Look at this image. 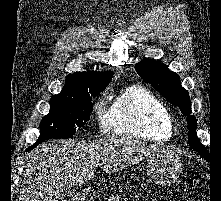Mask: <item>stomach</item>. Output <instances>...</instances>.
Instances as JSON below:
<instances>
[{"instance_id": "1", "label": "stomach", "mask_w": 221, "mask_h": 201, "mask_svg": "<svg viewBox=\"0 0 221 201\" xmlns=\"http://www.w3.org/2000/svg\"><path fill=\"white\" fill-rule=\"evenodd\" d=\"M181 172V161L172 150L147 157V173L159 185L175 183Z\"/></svg>"}]
</instances>
